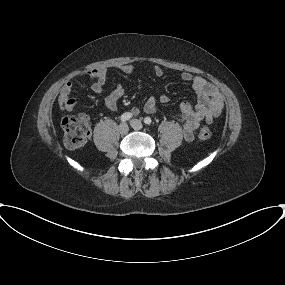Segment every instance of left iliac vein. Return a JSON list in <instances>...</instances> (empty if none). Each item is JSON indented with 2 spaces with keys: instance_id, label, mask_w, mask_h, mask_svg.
<instances>
[{
  "instance_id": "left-iliac-vein-1",
  "label": "left iliac vein",
  "mask_w": 285,
  "mask_h": 285,
  "mask_svg": "<svg viewBox=\"0 0 285 285\" xmlns=\"http://www.w3.org/2000/svg\"><path fill=\"white\" fill-rule=\"evenodd\" d=\"M130 125L132 126V128H134L135 130H140L142 129L143 125L141 123V121L137 120V119H133L130 121Z\"/></svg>"
}]
</instances>
